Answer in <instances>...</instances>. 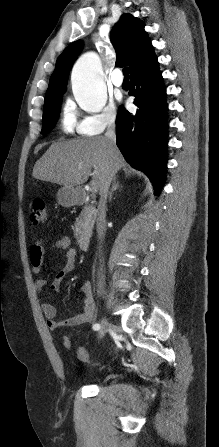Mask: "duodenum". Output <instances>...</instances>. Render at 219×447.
Returning <instances> with one entry per match:
<instances>
[{
	"label": "duodenum",
	"mask_w": 219,
	"mask_h": 447,
	"mask_svg": "<svg viewBox=\"0 0 219 447\" xmlns=\"http://www.w3.org/2000/svg\"><path fill=\"white\" fill-rule=\"evenodd\" d=\"M74 198H75L76 204H78V205H89L90 204L89 198L83 193L76 194ZM77 242H78V245L81 250L87 251V250H89L90 245H91V238L86 235H81L78 237Z\"/></svg>",
	"instance_id": "1"
}]
</instances>
